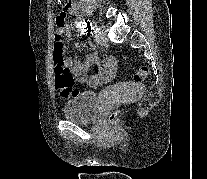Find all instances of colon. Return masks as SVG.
Returning <instances> with one entry per match:
<instances>
[{"instance_id": "obj_1", "label": "colon", "mask_w": 207, "mask_h": 179, "mask_svg": "<svg viewBox=\"0 0 207 179\" xmlns=\"http://www.w3.org/2000/svg\"><path fill=\"white\" fill-rule=\"evenodd\" d=\"M60 6H65L67 0H57ZM54 63H55V85L59 90L60 96L62 98H69L77 93L79 90L74 87V78L71 75V70L66 62L64 54V44L62 37L58 34L55 36L54 44ZM149 69L145 66L140 67L135 76V81H143L147 78ZM118 113L115 112L110 116V120L114 121Z\"/></svg>"}]
</instances>
